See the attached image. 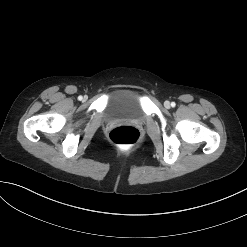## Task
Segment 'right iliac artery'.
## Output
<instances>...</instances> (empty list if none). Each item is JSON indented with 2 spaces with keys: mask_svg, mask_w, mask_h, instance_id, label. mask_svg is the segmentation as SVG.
<instances>
[{
  "mask_svg": "<svg viewBox=\"0 0 247 247\" xmlns=\"http://www.w3.org/2000/svg\"><path fill=\"white\" fill-rule=\"evenodd\" d=\"M82 99H83V97H82V96H79V97H78V100H82Z\"/></svg>",
  "mask_w": 247,
  "mask_h": 247,
  "instance_id": "1",
  "label": "right iliac artery"
}]
</instances>
